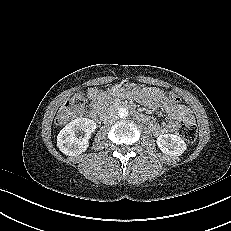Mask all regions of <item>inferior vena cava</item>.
Listing matches in <instances>:
<instances>
[{"instance_id":"inferior-vena-cava-1","label":"inferior vena cava","mask_w":231,"mask_h":231,"mask_svg":"<svg viewBox=\"0 0 231 231\" xmlns=\"http://www.w3.org/2000/svg\"><path fill=\"white\" fill-rule=\"evenodd\" d=\"M104 123H112L118 119V114L114 110H109L102 115Z\"/></svg>"}]
</instances>
